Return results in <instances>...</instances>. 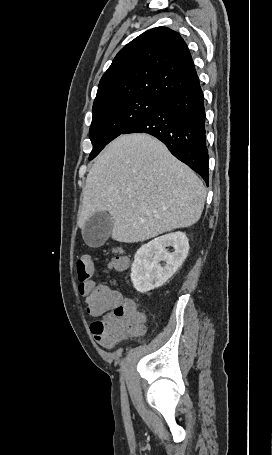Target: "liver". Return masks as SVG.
Listing matches in <instances>:
<instances>
[{
	"instance_id": "obj_1",
	"label": "liver",
	"mask_w": 272,
	"mask_h": 455,
	"mask_svg": "<svg viewBox=\"0 0 272 455\" xmlns=\"http://www.w3.org/2000/svg\"><path fill=\"white\" fill-rule=\"evenodd\" d=\"M206 190L198 176L148 134L121 135L90 169L78 226L96 212H108L113 240L142 242L201 217Z\"/></svg>"
}]
</instances>
